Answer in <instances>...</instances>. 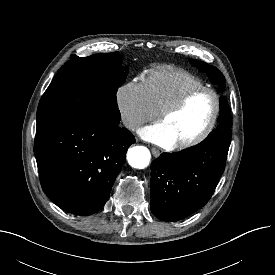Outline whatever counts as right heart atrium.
<instances>
[{"instance_id": "right-heart-atrium-1", "label": "right heart atrium", "mask_w": 275, "mask_h": 275, "mask_svg": "<svg viewBox=\"0 0 275 275\" xmlns=\"http://www.w3.org/2000/svg\"><path fill=\"white\" fill-rule=\"evenodd\" d=\"M116 101L121 119L129 129H136L156 116L141 82L131 81L122 85L117 91Z\"/></svg>"}]
</instances>
